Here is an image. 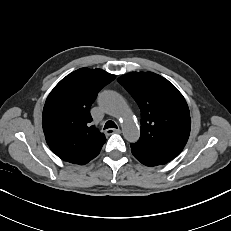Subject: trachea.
I'll return each mask as SVG.
<instances>
[{"label":"trachea","instance_id":"1","mask_svg":"<svg viewBox=\"0 0 231 231\" xmlns=\"http://www.w3.org/2000/svg\"><path fill=\"white\" fill-rule=\"evenodd\" d=\"M109 128H117V125L113 121H107L105 123L104 130Z\"/></svg>","mask_w":231,"mask_h":231}]
</instances>
